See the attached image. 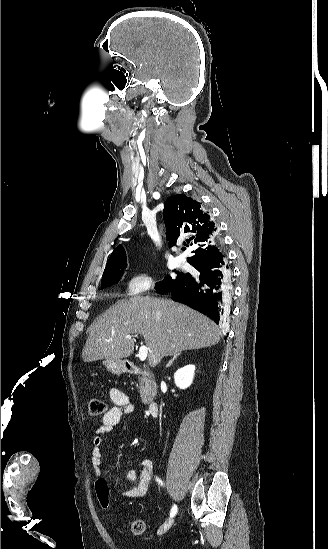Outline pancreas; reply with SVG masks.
<instances>
[{"mask_svg": "<svg viewBox=\"0 0 328 549\" xmlns=\"http://www.w3.org/2000/svg\"><path fill=\"white\" fill-rule=\"evenodd\" d=\"M138 381L139 393L143 403H150L152 395H156L157 393V385L155 381H153L150 375L145 373V371H143L141 377H138Z\"/></svg>", "mask_w": 328, "mask_h": 549, "instance_id": "pancreas-1", "label": "pancreas"}]
</instances>
